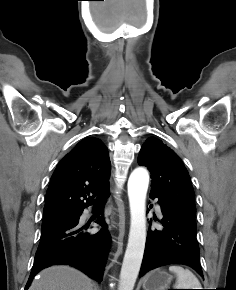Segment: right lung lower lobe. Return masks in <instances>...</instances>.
<instances>
[{"label":"right lung lower lobe","instance_id":"obj_1","mask_svg":"<svg viewBox=\"0 0 236 290\" xmlns=\"http://www.w3.org/2000/svg\"><path fill=\"white\" fill-rule=\"evenodd\" d=\"M109 194L108 191L103 200L95 205L98 215L96 223L102 226L97 233L87 231V226L78 225L82 212L71 222L41 232L39 247L25 289L39 271L53 264L72 265L96 281H102L110 242L102 208Z\"/></svg>","mask_w":236,"mask_h":290}]
</instances>
